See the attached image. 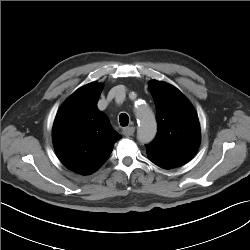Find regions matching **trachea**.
<instances>
[{
  "label": "trachea",
  "mask_w": 250,
  "mask_h": 250,
  "mask_svg": "<svg viewBox=\"0 0 250 250\" xmlns=\"http://www.w3.org/2000/svg\"><path fill=\"white\" fill-rule=\"evenodd\" d=\"M119 121H120V125L121 126H127L128 123H129V117H128V115L125 114V113L120 114Z\"/></svg>",
  "instance_id": "obj_1"
}]
</instances>
